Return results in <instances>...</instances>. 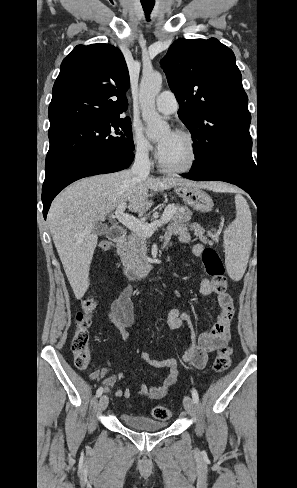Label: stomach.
<instances>
[{
    "instance_id": "obj_1",
    "label": "stomach",
    "mask_w": 297,
    "mask_h": 488,
    "mask_svg": "<svg viewBox=\"0 0 297 488\" xmlns=\"http://www.w3.org/2000/svg\"><path fill=\"white\" fill-rule=\"evenodd\" d=\"M175 191L189 206L199 212L207 213L213 208L211 197L200 188L180 186Z\"/></svg>"
}]
</instances>
